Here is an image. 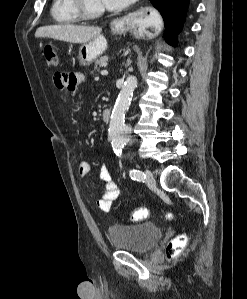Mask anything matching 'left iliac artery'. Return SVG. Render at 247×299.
<instances>
[{
    "label": "left iliac artery",
    "instance_id": "left-iliac-artery-1",
    "mask_svg": "<svg viewBox=\"0 0 247 299\" xmlns=\"http://www.w3.org/2000/svg\"><path fill=\"white\" fill-rule=\"evenodd\" d=\"M130 176L133 180H137V181H144L146 178V175L142 171L137 169H131Z\"/></svg>",
    "mask_w": 247,
    "mask_h": 299
}]
</instances>
